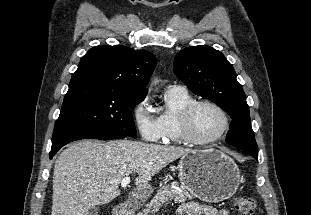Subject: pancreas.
<instances>
[{
  "label": "pancreas",
  "instance_id": "cf45deb5",
  "mask_svg": "<svg viewBox=\"0 0 311 215\" xmlns=\"http://www.w3.org/2000/svg\"><path fill=\"white\" fill-rule=\"evenodd\" d=\"M191 198L192 195H190L182 186H178L177 183H173L171 186L164 185L138 215H151L157 213L162 207V204L168 201L173 200L175 203L185 202L187 199Z\"/></svg>",
  "mask_w": 311,
  "mask_h": 215
}]
</instances>
